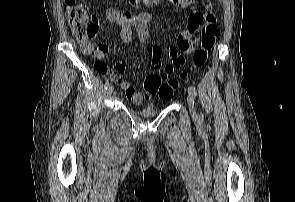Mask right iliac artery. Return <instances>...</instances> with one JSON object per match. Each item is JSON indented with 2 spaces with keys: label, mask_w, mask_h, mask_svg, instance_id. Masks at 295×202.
<instances>
[{
  "label": "right iliac artery",
  "mask_w": 295,
  "mask_h": 202,
  "mask_svg": "<svg viewBox=\"0 0 295 202\" xmlns=\"http://www.w3.org/2000/svg\"><path fill=\"white\" fill-rule=\"evenodd\" d=\"M110 86L109 82L105 83V88L107 89Z\"/></svg>",
  "instance_id": "obj_1"
}]
</instances>
